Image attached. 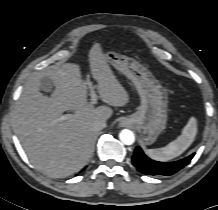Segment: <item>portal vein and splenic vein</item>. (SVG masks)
Masks as SVG:
<instances>
[{"instance_id": "portal-vein-and-splenic-vein-1", "label": "portal vein and splenic vein", "mask_w": 218, "mask_h": 210, "mask_svg": "<svg viewBox=\"0 0 218 210\" xmlns=\"http://www.w3.org/2000/svg\"><path fill=\"white\" fill-rule=\"evenodd\" d=\"M89 88H90V95H91V104H95L97 101V95L94 91V87L92 86L91 83H88ZM74 117V114H65L63 116H61V120H67V119H71Z\"/></svg>"}]
</instances>
